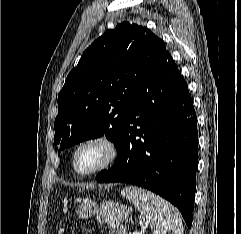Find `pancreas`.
<instances>
[{
	"mask_svg": "<svg viewBox=\"0 0 241 234\" xmlns=\"http://www.w3.org/2000/svg\"><path fill=\"white\" fill-rule=\"evenodd\" d=\"M111 234H127V233L124 229L119 228L117 230L112 231Z\"/></svg>",
	"mask_w": 241,
	"mask_h": 234,
	"instance_id": "1",
	"label": "pancreas"
}]
</instances>
